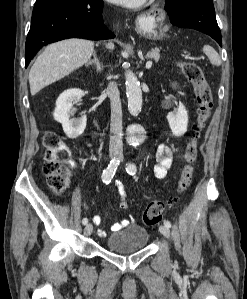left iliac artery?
I'll list each match as a JSON object with an SVG mask.
<instances>
[{
    "instance_id": "44dca946",
    "label": "left iliac artery",
    "mask_w": 247,
    "mask_h": 299,
    "mask_svg": "<svg viewBox=\"0 0 247 299\" xmlns=\"http://www.w3.org/2000/svg\"><path fill=\"white\" fill-rule=\"evenodd\" d=\"M126 171H127V173H129L130 175H134L135 174V172H136V166H135V164L133 163V162H129V163H127L126 164ZM164 225L165 226H167V227H171V223H170V221H168V220H165L164 221Z\"/></svg>"
}]
</instances>
